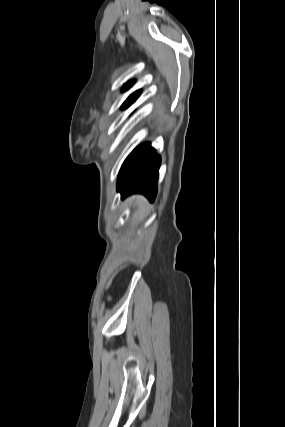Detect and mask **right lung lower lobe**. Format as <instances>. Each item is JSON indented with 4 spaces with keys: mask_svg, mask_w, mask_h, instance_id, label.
<instances>
[{
    "mask_svg": "<svg viewBox=\"0 0 285 427\" xmlns=\"http://www.w3.org/2000/svg\"><path fill=\"white\" fill-rule=\"evenodd\" d=\"M160 157L150 143L138 146L123 163L117 183V191L122 198L142 193L150 200L156 196Z\"/></svg>",
    "mask_w": 285,
    "mask_h": 427,
    "instance_id": "98d812e1",
    "label": "right lung lower lobe"
}]
</instances>
